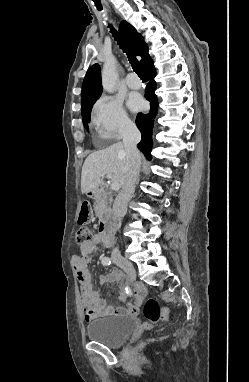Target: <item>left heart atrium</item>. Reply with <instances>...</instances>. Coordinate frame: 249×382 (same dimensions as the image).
<instances>
[{"instance_id":"obj_1","label":"left heart atrium","mask_w":249,"mask_h":382,"mask_svg":"<svg viewBox=\"0 0 249 382\" xmlns=\"http://www.w3.org/2000/svg\"><path fill=\"white\" fill-rule=\"evenodd\" d=\"M128 104L132 110H138V109H141L143 102L139 97L133 96L130 98Z\"/></svg>"}]
</instances>
